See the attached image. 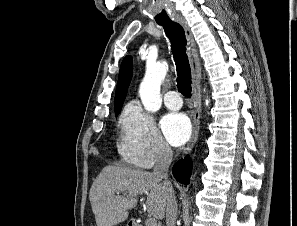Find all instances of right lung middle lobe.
I'll return each mask as SVG.
<instances>
[{
    "label": "right lung middle lobe",
    "instance_id": "dd1d6c3e",
    "mask_svg": "<svg viewBox=\"0 0 297 226\" xmlns=\"http://www.w3.org/2000/svg\"><path fill=\"white\" fill-rule=\"evenodd\" d=\"M120 110H121V107H118V108L115 109V115L116 116L119 114Z\"/></svg>",
    "mask_w": 297,
    "mask_h": 226
}]
</instances>
